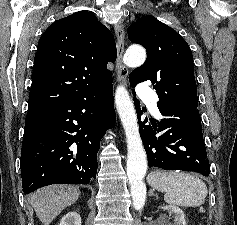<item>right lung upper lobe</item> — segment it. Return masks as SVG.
Here are the masks:
<instances>
[{"instance_id": "cb5924a9", "label": "right lung upper lobe", "mask_w": 237, "mask_h": 225, "mask_svg": "<svg viewBox=\"0 0 237 225\" xmlns=\"http://www.w3.org/2000/svg\"><path fill=\"white\" fill-rule=\"evenodd\" d=\"M114 36L96 16L76 12L50 25L34 58L28 108L61 103L112 82Z\"/></svg>"}]
</instances>
